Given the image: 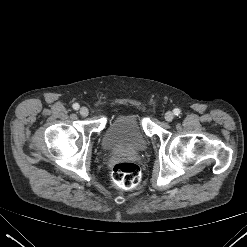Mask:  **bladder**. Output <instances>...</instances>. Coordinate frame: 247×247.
<instances>
[{
  "label": "bladder",
  "instance_id": "obj_1",
  "mask_svg": "<svg viewBox=\"0 0 247 247\" xmlns=\"http://www.w3.org/2000/svg\"><path fill=\"white\" fill-rule=\"evenodd\" d=\"M102 146L113 152H138L148 146L140 119L134 114H121L111 120L102 136Z\"/></svg>",
  "mask_w": 247,
  "mask_h": 247
}]
</instances>
